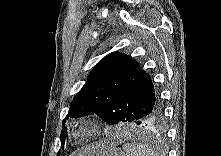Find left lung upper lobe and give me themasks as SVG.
I'll use <instances>...</instances> for the list:
<instances>
[{
  "mask_svg": "<svg viewBox=\"0 0 221 156\" xmlns=\"http://www.w3.org/2000/svg\"><path fill=\"white\" fill-rule=\"evenodd\" d=\"M159 104L149 74L131 57L112 52L89 74L65 120L96 114L109 125L127 124Z\"/></svg>",
  "mask_w": 221,
  "mask_h": 156,
  "instance_id": "5c2ea615",
  "label": "left lung upper lobe"
}]
</instances>
